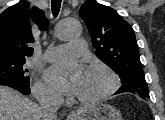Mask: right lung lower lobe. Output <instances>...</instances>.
Masks as SVG:
<instances>
[{"label":"right lung lower lobe","instance_id":"right-lung-lower-lobe-1","mask_svg":"<svg viewBox=\"0 0 165 120\" xmlns=\"http://www.w3.org/2000/svg\"><path fill=\"white\" fill-rule=\"evenodd\" d=\"M0 85L12 87L24 95L30 94L29 86L18 83V82L0 81Z\"/></svg>","mask_w":165,"mask_h":120}]
</instances>
